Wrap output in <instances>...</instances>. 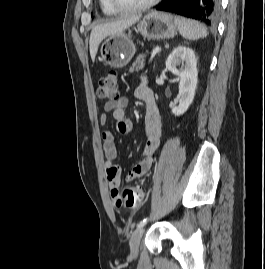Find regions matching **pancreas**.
Segmentation results:
<instances>
[{"instance_id":"cf45deb5","label":"pancreas","mask_w":265,"mask_h":269,"mask_svg":"<svg viewBox=\"0 0 265 269\" xmlns=\"http://www.w3.org/2000/svg\"><path fill=\"white\" fill-rule=\"evenodd\" d=\"M145 66V56L143 54L139 55L136 60L134 61L132 67L130 68V72H134L141 70Z\"/></svg>"}]
</instances>
